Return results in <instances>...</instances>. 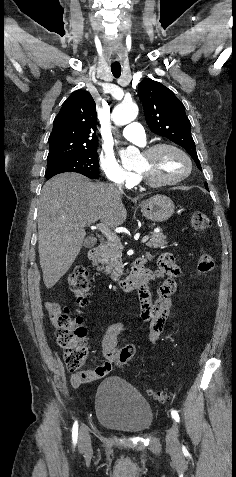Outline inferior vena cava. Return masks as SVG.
<instances>
[{
	"label": "inferior vena cava",
	"mask_w": 236,
	"mask_h": 477,
	"mask_svg": "<svg viewBox=\"0 0 236 477\" xmlns=\"http://www.w3.org/2000/svg\"><path fill=\"white\" fill-rule=\"evenodd\" d=\"M119 190L122 191L121 187H119Z\"/></svg>",
	"instance_id": "obj_1"
}]
</instances>
